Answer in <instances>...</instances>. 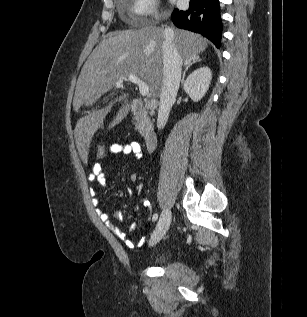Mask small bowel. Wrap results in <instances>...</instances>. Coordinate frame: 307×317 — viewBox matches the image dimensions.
Returning a JSON list of instances; mask_svg holds the SVG:
<instances>
[{
	"label": "small bowel",
	"mask_w": 307,
	"mask_h": 317,
	"mask_svg": "<svg viewBox=\"0 0 307 317\" xmlns=\"http://www.w3.org/2000/svg\"><path fill=\"white\" fill-rule=\"evenodd\" d=\"M110 151L114 155H128V156H134L137 159H141L143 157V150L141 145L136 141H131L127 143H114L110 146ZM89 180L92 182H96L101 187H106L107 184V177L106 172L101 163H94L92 166V171L89 176ZM128 194L130 197H132L131 190H128ZM94 205L99 204V200L97 198H94ZM98 214L103 222H105L115 233V235L125 242V244L129 248H134L136 244L127 237V234L123 231H121L118 227H116L112 219L115 220H121L123 217V214L121 211H115L112 214L107 213L105 211H102L101 209H98ZM144 243V240L142 239L139 242V245H142Z\"/></svg>",
	"instance_id": "obj_1"
}]
</instances>
